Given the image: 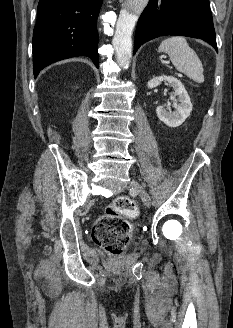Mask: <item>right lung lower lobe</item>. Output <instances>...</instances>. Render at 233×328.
<instances>
[{
  "instance_id": "right-lung-lower-lobe-1",
  "label": "right lung lower lobe",
  "mask_w": 233,
  "mask_h": 328,
  "mask_svg": "<svg viewBox=\"0 0 233 328\" xmlns=\"http://www.w3.org/2000/svg\"><path fill=\"white\" fill-rule=\"evenodd\" d=\"M103 0H40L33 34L36 78L49 64L88 56L98 67L96 21Z\"/></svg>"
}]
</instances>
